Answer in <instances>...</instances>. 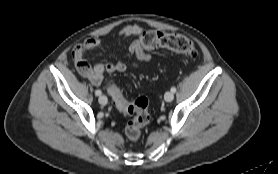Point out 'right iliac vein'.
<instances>
[{
	"label": "right iliac vein",
	"mask_w": 278,
	"mask_h": 174,
	"mask_svg": "<svg viewBox=\"0 0 278 174\" xmlns=\"http://www.w3.org/2000/svg\"><path fill=\"white\" fill-rule=\"evenodd\" d=\"M98 101L101 105H106L107 102H108V99H107L106 96L102 95V96L99 97Z\"/></svg>",
	"instance_id": "1"
}]
</instances>
